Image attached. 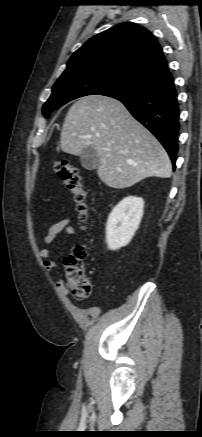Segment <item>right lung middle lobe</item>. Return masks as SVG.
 <instances>
[{"instance_id":"obj_1","label":"right lung middle lobe","mask_w":202,"mask_h":437,"mask_svg":"<svg viewBox=\"0 0 202 437\" xmlns=\"http://www.w3.org/2000/svg\"><path fill=\"white\" fill-rule=\"evenodd\" d=\"M149 82L113 71L80 69L63 73L53 86L52 94L43 106L46 118L49 113L67 102L86 95L114 97L136 93Z\"/></svg>"}]
</instances>
